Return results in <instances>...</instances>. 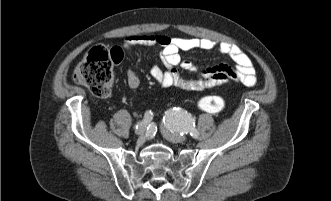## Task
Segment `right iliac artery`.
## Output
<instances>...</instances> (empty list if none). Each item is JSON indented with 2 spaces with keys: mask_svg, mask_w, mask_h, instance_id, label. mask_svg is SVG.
I'll return each instance as SVG.
<instances>
[{
  "mask_svg": "<svg viewBox=\"0 0 331 201\" xmlns=\"http://www.w3.org/2000/svg\"><path fill=\"white\" fill-rule=\"evenodd\" d=\"M152 118L153 113L151 111H147L144 115L143 120L140 123L136 124L134 128H138L140 125H147L152 120Z\"/></svg>",
  "mask_w": 331,
  "mask_h": 201,
  "instance_id": "right-iliac-artery-1",
  "label": "right iliac artery"
}]
</instances>
